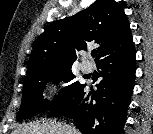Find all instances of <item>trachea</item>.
I'll list each match as a JSON object with an SVG mask.
<instances>
[{
    "mask_svg": "<svg viewBox=\"0 0 153 134\" xmlns=\"http://www.w3.org/2000/svg\"><path fill=\"white\" fill-rule=\"evenodd\" d=\"M91 55L92 57H95L97 55V51L96 50L92 51Z\"/></svg>",
    "mask_w": 153,
    "mask_h": 134,
    "instance_id": "1",
    "label": "trachea"
}]
</instances>
